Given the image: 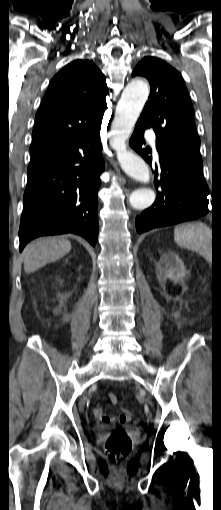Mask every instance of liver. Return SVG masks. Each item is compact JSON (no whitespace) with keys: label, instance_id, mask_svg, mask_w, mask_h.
Masks as SVG:
<instances>
[{"label":"liver","instance_id":"6515ba94","mask_svg":"<svg viewBox=\"0 0 221 510\" xmlns=\"http://www.w3.org/2000/svg\"><path fill=\"white\" fill-rule=\"evenodd\" d=\"M71 242L61 237L43 238L28 244L24 250V271L32 273L55 262L71 250Z\"/></svg>","mask_w":221,"mask_h":510}]
</instances>
